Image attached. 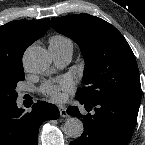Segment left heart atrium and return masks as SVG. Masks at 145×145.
I'll return each mask as SVG.
<instances>
[{
    "label": "left heart atrium",
    "instance_id": "39dd6f15",
    "mask_svg": "<svg viewBox=\"0 0 145 145\" xmlns=\"http://www.w3.org/2000/svg\"><path fill=\"white\" fill-rule=\"evenodd\" d=\"M73 80L70 77H62L57 82H46L42 86V91L55 101L62 100V91H68L73 88Z\"/></svg>",
    "mask_w": 145,
    "mask_h": 145
}]
</instances>
